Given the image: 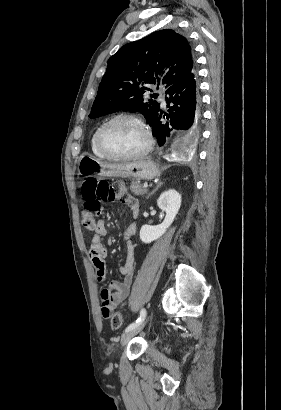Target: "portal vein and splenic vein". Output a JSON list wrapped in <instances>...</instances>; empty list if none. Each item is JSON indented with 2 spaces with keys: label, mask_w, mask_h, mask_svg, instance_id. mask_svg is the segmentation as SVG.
<instances>
[{
  "label": "portal vein and splenic vein",
  "mask_w": 281,
  "mask_h": 410,
  "mask_svg": "<svg viewBox=\"0 0 281 410\" xmlns=\"http://www.w3.org/2000/svg\"><path fill=\"white\" fill-rule=\"evenodd\" d=\"M143 187H144V188H147V187H148V184H147V183H144V184H143Z\"/></svg>",
  "instance_id": "portal-vein-and-splenic-vein-1"
}]
</instances>
